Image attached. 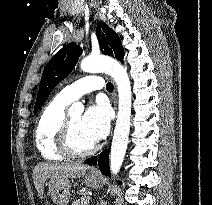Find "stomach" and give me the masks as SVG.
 I'll use <instances>...</instances> for the list:
<instances>
[{
	"instance_id": "obj_1",
	"label": "stomach",
	"mask_w": 212,
	"mask_h": 205,
	"mask_svg": "<svg viewBox=\"0 0 212 205\" xmlns=\"http://www.w3.org/2000/svg\"><path fill=\"white\" fill-rule=\"evenodd\" d=\"M83 183L87 187L100 189L104 184V179L99 175L87 174L83 178ZM47 185L49 188L48 194L50 195L51 200L56 205H67L70 200V189L72 187L69 178H50Z\"/></svg>"
}]
</instances>
